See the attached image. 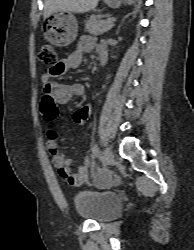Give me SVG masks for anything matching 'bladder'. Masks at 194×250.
Instances as JSON below:
<instances>
[{"label":"bladder","instance_id":"1","mask_svg":"<svg viewBox=\"0 0 194 250\" xmlns=\"http://www.w3.org/2000/svg\"><path fill=\"white\" fill-rule=\"evenodd\" d=\"M73 207L81 218L106 222L119 214L122 200L117 194L109 191L84 189L75 193Z\"/></svg>","mask_w":194,"mask_h":250}]
</instances>
